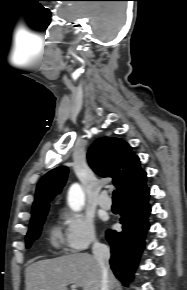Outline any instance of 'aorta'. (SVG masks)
<instances>
[{
    "instance_id": "762f6f07",
    "label": "aorta",
    "mask_w": 187,
    "mask_h": 290,
    "mask_svg": "<svg viewBox=\"0 0 187 290\" xmlns=\"http://www.w3.org/2000/svg\"><path fill=\"white\" fill-rule=\"evenodd\" d=\"M67 202L73 211H80L85 204V194L79 184H73L69 191Z\"/></svg>"
}]
</instances>
